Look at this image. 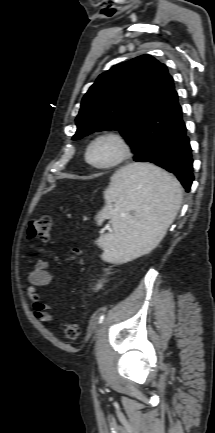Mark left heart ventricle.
<instances>
[{
	"label": "left heart ventricle",
	"instance_id": "left-heart-ventricle-1",
	"mask_svg": "<svg viewBox=\"0 0 215 433\" xmlns=\"http://www.w3.org/2000/svg\"><path fill=\"white\" fill-rule=\"evenodd\" d=\"M118 153V144L111 139H104L92 147L89 157L93 163L104 164L113 161Z\"/></svg>",
	"mask_w": 215,
	"mask_h": 433
}]
</instances>
